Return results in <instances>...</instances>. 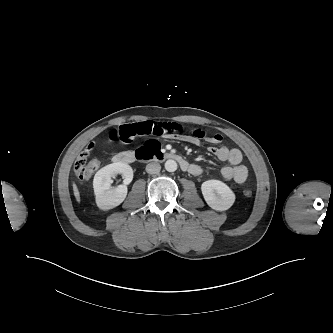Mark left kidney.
<instances>
[{
    "label": "left kidney",
    "instance_id": "5707ae66",
    "mask_svg": "<svg viewBox=\"0 0 333 333\" xmlns=\"http://www.w3.org/2000/svg\"><path fill=\"white\" fill-rule=\"evenodd\" d=\"M201 191L206 203L216 211H226L235 202L234 192L219 180L203 182Z\"/></svg>",
    "mask_w": 333,
    "mask_h": 333
}]
</instances>
